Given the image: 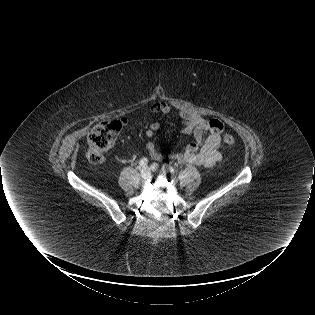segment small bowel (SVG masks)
Listing matches in <instances>:
<instances>
[{
    "instance_id": "1",
    "label": "small bowel",
    "mask_w": 315,
    "mask_h": 315,
    "mask_svg": "<svg viewBox=\"0 0 315 315\" xmlns=\"http://www.w3.org/2000/svg\"><path fill=\"white\" fill-rule=\"evenodd\" d=\"M149 110L155 114H169L171 107L164 102H157L152 104ZM179 116L181 118L180 132L184 135H193L194 141L188 144L182 152L171 153L167 156L158 150L153 141H148L146 150L149 156L156 161L167 157L181 164H194L206 168L213 167L221 161L220 135L223 131V123L219 119H209L187 110H181ZM118 121L121 126L128 124V119L125 117ZM159 129V122H151L145 131L146 137L152 138Z\"/></svg>"
}]
</instances>
